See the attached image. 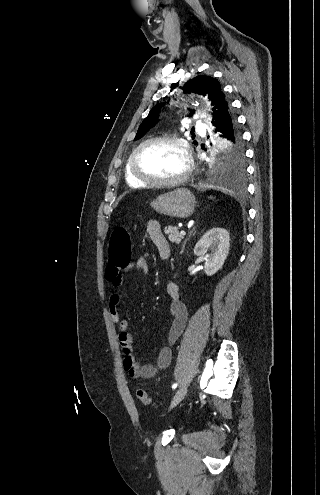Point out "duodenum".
I'll use <instances>...</instances> for the list:
<instances>
[{
	"label": "duodenum",
	"mask_w": 320,
	"mask_h": 495,
	"mask_svg": "<svg viewBox=\"0 0 320 495\" xmlns=\"http://www.w3.org/2000/svg\"><path fill=\"white\" fill-rule=\"evenodd\" d=\"M169 255H170V250H169V248H167V249H163V250H162V252H161V257H162L163 259H168Z\"/></svg>",
	"instance_id": "410a0bca"
}]
</instances>
